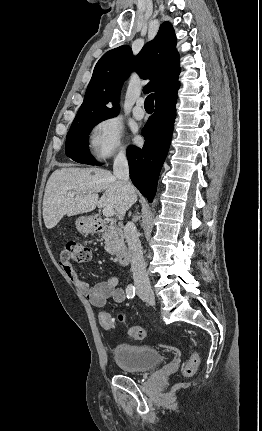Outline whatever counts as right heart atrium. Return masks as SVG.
<instances>
[{
  "label": "right heart atrium",
  "instance_id": "obj_1",
  "mask_svg": "<svg viewBox=\"0 0 262 431\" xmlns=\"http://www.w3.org/2000/svg\"><path fill=\"white\" fill-rule=\"evenodd\" d=\"M124 129L115 116H107L98 121L90 133V150L98 160H105L125 154Z\"/></svg>",
  "mask_w": 262,
  "mask_h": 431
}]
</instances>
